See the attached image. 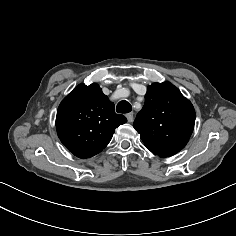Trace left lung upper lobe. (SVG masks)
Returning a JSON list of instances; mask_svg holds the SVG:
<instances>
[{
    "instance_id": "5c2ea615",
    "label": "left lung upper lobe",
    "mask_w": 236,
    "mask_h": 236,
    "mask_svg": "<svg viewBox=\"0 0 236 236\" xmlns=\"http://www.w3.org/2000/svg\"><path fill=\"white\" fill-rule=\"evenodd\" d=\"M195 124V110L179 89L169 82L147 88L145 104L133 127L145 146L160 157L178 153L187 144Z\"/></svg>"
}]
</instances>
